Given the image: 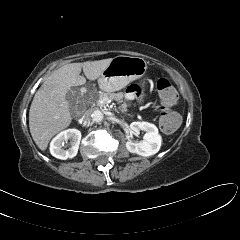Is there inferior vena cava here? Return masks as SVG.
<instances>
[{
	"instance_id": "1",
	"label": "inferior vena cava",
	"mask_w": 240,
	"mask_h": 240,
	"mask_svg": "<svg viewBox=\"0 0 240 240\" xmlns=\"http://www.w3.org/2000/svg\"><path fill=\"white\" fill-rule=\"evenodd\" d=\"M90 115H91L90 111H86L85 113H83L81 117L82 121H90Z\"/></svg>"
}]
</instances>
